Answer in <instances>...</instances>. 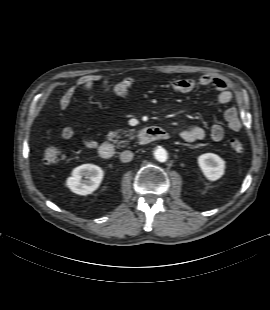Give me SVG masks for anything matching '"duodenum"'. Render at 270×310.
I'll return each instance as SVG.
<instances>
[{"instance_id": "duodenum-1", "label": "duodenum", "mask_w": 270, "mask_h": 310, "mask_svg": "<svg viewBox=\"0 0 270 310\" xmlns=\"http://www.w3.org/2000/svg\"><path fill=\"white\" fill-rule=\"evenodd\" d=\"M169 137V132L161 127H147L139 131L138 142L148 144L156 140H165ZM102 159H110L115 154L114 145L110 142H103L98 149Z\"/></svg>"}]
</instances>
